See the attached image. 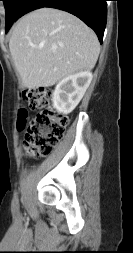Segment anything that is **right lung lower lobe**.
I'll use <instances>...</instances> for the list:
<instances>
[{
    "mask_svg": "<svg viewBox=\"0 0 133 253\" xmlns=\"http://www.w3.org/2000/svg\"><path fill=\"white\" fill-rule=\"evenodd\" d=\"M107 0H24L20 6L19 19L24 14L42 7L67 11L91 27L102 43L107 19Z\"/></svg>",
    "mask_w": 133,
    "mask_h": 253,
    "instance_id": "1",
    "label": "right lung lower lobe"
}]
</instances>
